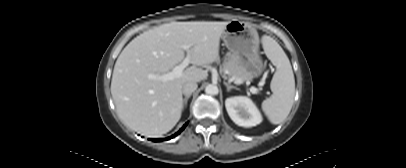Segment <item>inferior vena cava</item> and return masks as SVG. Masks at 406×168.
I'll return each instance as SVG.
<instances>
[{"label":"inferior vena cava","instance_id":"inferior-vena-cava-1","mask_svg":"<svg viewBox=\"0 0 406 168\" xmlns=\"http://www.w3.org/2000/svg\"><path fill=\"white\" fill-rule=\"evenodd\" d=\"M198 85L195 81H189L186 82L183 86H182V93L187 96V95H191L192 92H194L197 89Z\"/></svg>","mask_w":406,"mask_h":168}]
</instances>
